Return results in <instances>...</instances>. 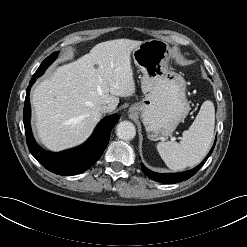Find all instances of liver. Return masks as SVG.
Here are the masks:
<instances>
[{
    "label": "liver",
    "instance_id": "liver-1",
    "mask_svg": "<svg viewBox=\"0 0 247 247\" xmlns=\"http://www.w3.org/2000/svg\"><path fill=\"white\" fill-rule=\"evenodd\" d=\"M142 41L115 39L95 45L88 54L58 67L33 91L35 126L41 143L58 152L82 144L119 97L135 93L131 52ZM97 65V67H95Z\"/></svg>",
    "mask_w": 247,
    "mask_h": 247
}]
</instances>
